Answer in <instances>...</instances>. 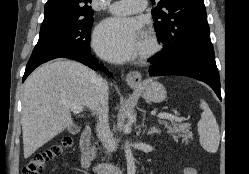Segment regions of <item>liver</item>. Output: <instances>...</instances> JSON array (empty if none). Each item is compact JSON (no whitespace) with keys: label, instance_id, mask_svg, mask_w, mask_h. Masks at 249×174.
<instances>
[{"label":"liver","instance_id":"liver-1","mask_svg":"<svg viewBox=\"0 0 249 174\" xmlns=\"http://www.w3.org/2000/svg\"><path fill=\"white\" fill-rule=\"evenodd\" d=\"M99 76L72 60H54L37 68L25 81L22 100L24 158L73 125L70 104L98 108Z\"/></svg>","mask_w":249,"mask_h":174}]
</instances>
